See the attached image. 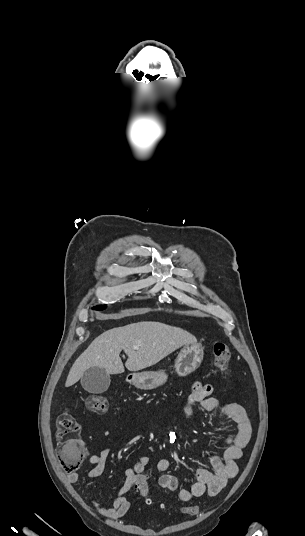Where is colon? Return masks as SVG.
Masks as SVG:
<instances>
[{
    "instance_id": "5ec220e1",
    "label": "colon",
    "mask_w": 305,
    "mask_h": 536,
    "mask_svg": "<svg viewBox=\"0 0 305 536\" xmlns=\"http://www.w3.org/2000/svg\"><path fill=\"white\" fill-rule=\"evenodd\" d=\"M212 355L214 357L215 366L218 368L222 376H228L229 374V357L230 351L228 344L224 341H215L212 345ZM85 405L87 409L93 413H103L108 409V399L102 395H90L85 399ZM80 424L75 417L69 412H62L58 415L56 421V440L57 443L55 450L57 452L58 462H62L63 471H78L79 462L81 460V454L86 452V445L82 442L80 432ZM136 482L132 484L134 489H138L140 496L145 503H148L152 498L143 475L138 474L135 477ZM156 506L160 503H154ZM164 509L161 511H174L176 506L174 504H161ZM172 506V509H169ZM181 511L189 512L191 518L198 516V511L193 509L191 503L181 504L179 506ZM154 512H160L156 509Z\"/></svg>"
}]
</instances>
